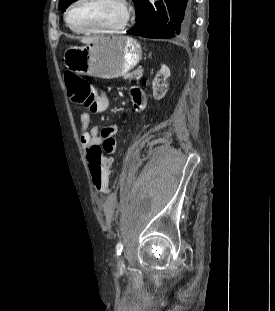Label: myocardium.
<instances>
[{"mask_svg": "<svg viewBox=\"0 0 275 311\" xmlns=\"http://www.w3.org/2000/svg\"><path fill=\"white\" fill-rule=\"evenodd\" d=\"M83 0H74L69 7L66 9L64 19L67 24V26L74 32L78 33H89V34H113V33H118L121 32L123 29L127 27L129 24L130 18H131V8L130 5L128 4L127 0H117V2L120 3L122 9H123V19L118 24L117 26L114 27H108V28H77L71 25L69 21V15L71 10Z\"/></svg>", "mask_w": 275, "mask_h": 311, "instance_id": "f54148a6", "label": "myocardium"}]
</instances>
